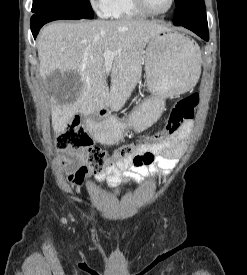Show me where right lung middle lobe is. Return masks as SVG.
Listing matches in <instances>:
<instances>
[{
	"instance_id": "dd1d6c3e",
	"label": "right lung middle lobe",
	"mask_w": 247,
	"mask_h": 275,
	"mask_svg": "<svg viewBox=\"0 0 247 275\" xmlns=\"http://www.w3.org/2000/svg\"><path fill=\"white\" fill-rule=\"evenodd\" d=\"M32 12H60L86 19L94 17L89 0H33Z\"/></svg>"
}]
</instances>
